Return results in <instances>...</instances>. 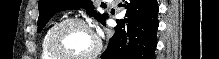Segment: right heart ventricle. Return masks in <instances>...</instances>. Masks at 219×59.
<instances>
[{
  "label": "right heart ventricle",
  "mask_w": 219,
  "mask_h": 59,
  "mask_svg": "<svg viewBox=\"0 0 219 59\" xmlns=\"http://www.w3.org/2000/svg\"><path fill=\"white\" fill-rule=\"evenodd\" d=\"M57 23H53L50 26L47 27V29L44 31L41 41H40V59H57L55 56H53L48 48V38L51 30Z\"/></svg>",
  "instance_id": "right-heart-ventricle-1"
}]
</instances>
